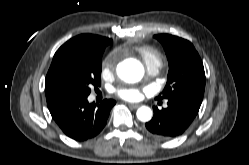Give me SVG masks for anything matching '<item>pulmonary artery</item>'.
<instances>
[{"mask_svg": "<svg viewBox=\"0 0 249 165\" xmlns=\"http://www.w3.org/2000/svg\"><path fill=\"white\" fill-rule=\"evenodd\" d=\"M157 71H158V69L155 68V67L148 68V73L151 74V75L156 74Z\"/></svg>", "mask_w": 249, "mask_h": 165, "instance_id": "1", "label": "pulmonary artery"}]
</instances>
